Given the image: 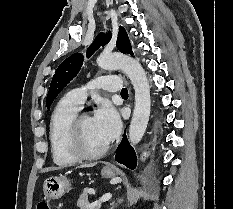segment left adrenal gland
<instances>
[{"instance_id": "1", "label": "left adrenal gland", "mask_w": 233, "mask_h": 209, "mask_svg": "<svg viewBox=\"0 0 233 209\" xmlns=\"http://www.w3.org/2000/svg\"><path fill=\"white\" fill-rule=\"evenodd\" d=\"M114 206H115V203H114V202H112V204H111V208H110V209H113V208H114Z\"/></svg>"}]
</instances>
